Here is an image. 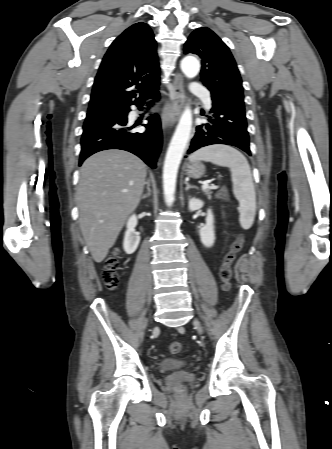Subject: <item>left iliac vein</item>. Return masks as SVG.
<instances>
[{
    "label": "left iliac vein",
    "mask_w": 332,
    "mask_h": 449,
    "mask_svg": "<svg viewBox=\"0 0 332 449\" xmlns=\"http://www.w3.org/2000/svg\"><path fill=\"white\" fill-rule=\"evenodd\" d=\"M193 324H194L195 328L197 329V331L201 334L202 333V327H201L200 322L197 319H195Z\"/></svg>",
    "instance_id": "obj_1"
}]
</instances>
